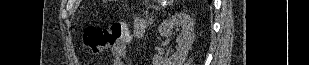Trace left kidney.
Wrapping results in <instances>:
<instances>
[{"label": "left kidney", "instance_id": "5707ae66", "mask_svg": "<svg viewBox=\"0 0 309 65\" xmlns=\"http://www.w3.org/2000/svg\"><path fill=\"white\" fill-rule=\"evenodd\" d=\"M174 29H180L181 35L177 37L178 44L177 51L168 59L160 55H155L153 58V65H183L189 50L192 48L194 42V21L185 14H175L172 17L164 20L158 27L160 37H171ZM160 37L158 39L160 40Z\"/></svg>", "mask_w": 309, "mask_h": 65}]
</instances>
